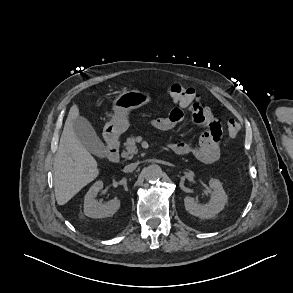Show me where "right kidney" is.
I'll list each match as a JSON object with an SVG mask.
<instances>
[{
    "mask_svg": "<svg viewBox=\"0 0 293 293\" xmlns=\"http://www.w3.org/2000/svg\"><path fill=\"white\" fill-rule=\"evenodd\" d=\"M103 188V182H95L84 199V214L91 218H106L113 216L120 208V200L114 198L107 203L100 204L95 196Z\"/></svg>",
    "mask_w": 293,
    "mask_h": 293,
    "instance_id": "ca27d5eb",
    "label": "right kidney"
}]
</instances>
